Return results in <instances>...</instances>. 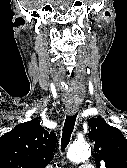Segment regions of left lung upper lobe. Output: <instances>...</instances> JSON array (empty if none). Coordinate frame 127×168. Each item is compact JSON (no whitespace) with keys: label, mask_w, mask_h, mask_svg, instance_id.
<instances>
[{"label":"left lung upper lobe","mask_w":127,"mask_h":168,"mask_svg":"<svg viewBox=\"0 0 127 168\" xmlns=\"http://www.w3.org/2000/svg\"><path fill=\"white\" fill-rule=\"evenodd\" d=\"M97 168H127V140L122 132L101 118L88 120Z\"/></svg>","instance_id":"5c2ea615"}]
</instances>
